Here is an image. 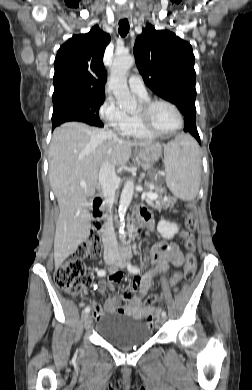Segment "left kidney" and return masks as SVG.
Returning <instances> with one entry per match:
<instances>
[{"label":"left kidney","instance_id":"left-kidney-1","mask_svg":"<svg viewBox=\"0 0 252 390\" xmlns=\"http://www.w3.org/2000/svg\"><path fill=\"white\" fill-rule=\"evenodd\" d=\"M157 230L163 238L171 239L178 232L179 228L175 223H171L166 220H160L157 225Z\"/></svg>","mask_w":252,"mask_h":390}]
</instances>
